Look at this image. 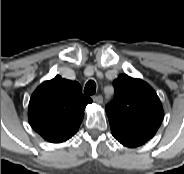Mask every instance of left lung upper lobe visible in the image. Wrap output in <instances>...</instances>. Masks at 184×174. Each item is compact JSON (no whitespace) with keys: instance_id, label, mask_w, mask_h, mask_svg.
Wrapping results in <instances>:
<instances>
[{"instance_id":"obj_1","label":"left lung upper lobe","mask_w":184,"mask_h":174,"mask_svg":"<svg viewBox=\"0 0 184 174\" xmlns=\"http://www.w3.org/2000/svg\"><path fill=\"white\" fill-rule=\"evenodd\" d=\"M113 101L106 106L110 128L148 141L160 127L164 111L156 92L141 79L121 74L113 81Z\"/></svg>"}]
</instances>
